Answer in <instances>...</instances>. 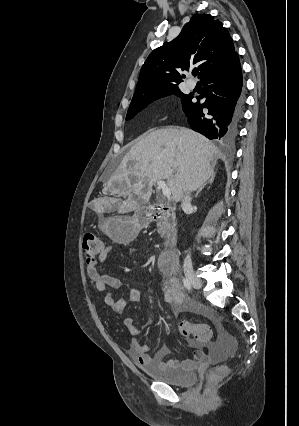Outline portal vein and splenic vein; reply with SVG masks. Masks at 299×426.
Returning a JSON list of instances; mask_svg holds the SVG:
<instances>
[{
  "label": "portal vein and splenic vein",
  "mask_w": 299,
  "mask_h": 426,
  "mask_svg": "<svg viewBox=\"0 0 299 426\" xmlns=\"http://www.w3.org/2000/svg\"><path fill=\"white\" fill-rule=\"evenodd\" d=\"M157 186L162 190V193L165 197L170 198L171 191L170 188L166 185V183L162 180L157 181Z\"/></svg>",
  "instance_id": "obj_1"
}]
</instances>
